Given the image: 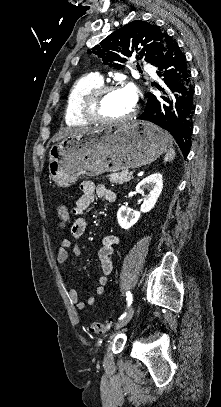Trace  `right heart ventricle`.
<instances>
[{
  "label": "right heart ventricle",
  "instance_id": "e07e8e85",
  "mask_svg": "<svg viewBox=\"0 0 221 407\" xmlns=\"http://www.w3.org/2000/svg\"><path fill=\"white\" fill-rule=\"evenodd\" d=\"M101 85L102 83L92 75L80 77L72 84L67 94L64 109V118L68 125L89 123L82 111V105L88 95Z\"/></svg>",
  "mask_w": 221,
  "mask_h": 407
}]
</instances>
